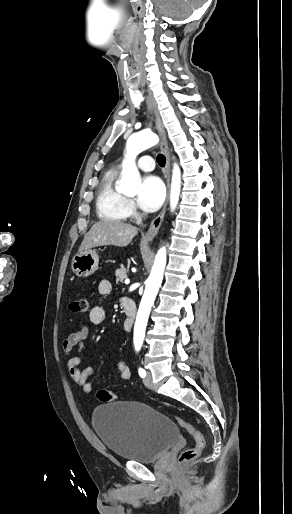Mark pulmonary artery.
Listing matches in <instances>:
<instances>
[{
    "mask_svg": "<svg viewBox=\"0 0 292 514\" xmlns=\"http://www.w3.org/2000/svg\"><path fill=\"white\" fill-rule=\"evenodd\" d=\"M144 156L140 162L137 164V169L141 172H152L155 169V164L151 161V158L146 154L140 155Z\"/></svg>",
    "mask_w": 292,
    "mask_h": 514,
    "instance_id": "obj_1",
    "label": "pulmonary artery"
}]
</instances>
